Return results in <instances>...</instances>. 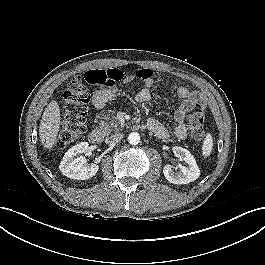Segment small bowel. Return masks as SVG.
<instances>
[{
    "label": "small bowel",
    "instance_id": "c3829d8e",
    "mask_svg": "<svg viewBox=\"0 0 265 265\" xmlns=\"http://www.w3.org/2000/svg\"><path fill=\"white\" fill-rule=\"evenodd\" d=\"M115 78V82L122 79L125 82H129L132 81L135 76H127L123 78L120 74H118L115 76ZM143 81V88L140 89L136 94V100L141 103L148 102L151 99V87L154 83L152 75L145 78ZM115 82L111 85H104L103 88L94 92L93 104L96 107H104L115 96ZM173 90L182 101L181 106L174 113V136L177 140L182 141L187 137V126L185 124V116L196 105H201V99L198 93L179 84H175L173 86ZM146 127L161 139H166L169 136L168 129L156 119H149L146 122Z\"/></svg>",
    "mask_w": 265,
    "mask_h": 265
}]
</instances>
